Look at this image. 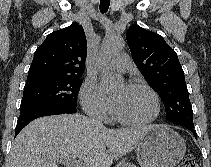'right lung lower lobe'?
Instances as JSON below:
<instances>
[{"instance_id":"98d812e1","label":"right lung lower lobe","mask_w":211,"mask_h":167,"mask_svg":"<svg viewBox=\"0 0 211 167\" xmlns=\"http://www.w3.org/2000/svg\"><path fill=\"white\" fill-rule=\"evenodd\" d=\"M76 107H65V106H45L39 108H33L20 113L17 121L15 136L32 120L48 115H58L63 113H76Z\"/></svg>"}]
</instances>
